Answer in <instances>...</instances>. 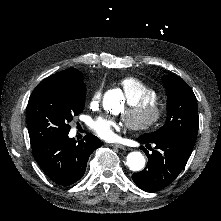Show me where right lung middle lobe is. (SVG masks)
I'll list each match as a JSON object with an SVG mask.
<instances>
[{
	"label": "right lung middle lobe",
	"instance_id": "right-lung-middle-lobe-1",
	"mask_svg": "<svg viewBox=\"0 0 221 221\" xmlns=\"http://www.w3.org/2000/svg\"><path fill=\"white\" fill-rule=\"evenodd\" d=\"M86 85L74 80L46 78L33 90L26 122L31 146L68 135L69 123L84 109Z\"/></svg>",
	"mask_w": 221,
	"mask_h": 221
}]
</instances>
